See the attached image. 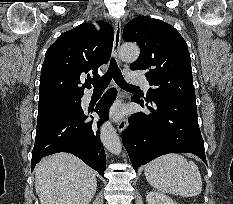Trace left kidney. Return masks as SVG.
Returning a JSON list of instances; mask_svg holds the SVG:
<instances>
[{
    "mask_svg": "<svg viewBox=\"0 0 233 204\" xmlns=\"http://www.w3.org/2000/svg\"><path fill=\"white\" fill-rule=\"evenodd\" d=\"M147 204H177L167 195L157 191H150L146 196Z\"/></svg>",
    "mask_w": 233,
    "mask_h": 204,
    "instance_id": "obj_1",
    "label": "left kidney"
}]
</instances>
